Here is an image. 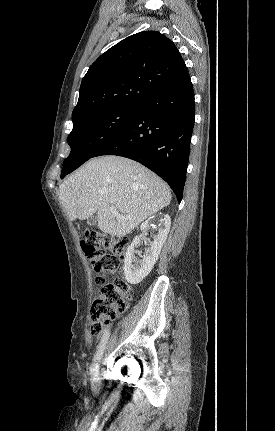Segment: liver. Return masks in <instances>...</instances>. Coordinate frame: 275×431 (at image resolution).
<instances>
[{
  "label": "liver",
  "mask_w": 275,
  "mask_h": 431,
  "mask_svg": "<svg viewBox=\"0 0 275 431\" xmlns=\"http://www.w3.org/2000/svg\"><path fill=\"white\" fill-rule=\"evenodd\" d=\"M71 221L97 212L98 228L121 238L171 202L168 185L133 160L109 155L86 162L59 187ZM117 209V214L110 207Z\"/></svg>",
  "instance_id": "obj_1"
}]
</instances>
